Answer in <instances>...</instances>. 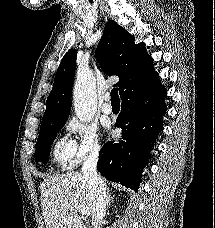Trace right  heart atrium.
Masks as SVG:
<instances>
[{
  "label": "right heart atrium",
  "instance_id": "1",
  "mask_svg": "<svg viewBox=\"0 0 215 228\" xmlns=\"http://www.w3.org/2000/svg\"><path fill=\"white\" fill-rule=\"evenodd\" d=\"M66 129L74 138L72 154L74 164L99 157L102 151L101 134L95 125L73 117L66 123Z\"/></svg>",
  "mask_w": 215,
  "mask_h": 228
}]
</instances>
